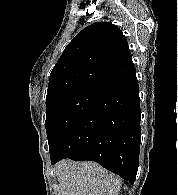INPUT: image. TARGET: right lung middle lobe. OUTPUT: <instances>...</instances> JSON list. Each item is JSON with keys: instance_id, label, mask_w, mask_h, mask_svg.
Instances as JSON below:
<instances>
[{"instance_id": "1", "label": "right lung middle lobe", "mask_w": 178, "mask_h": 195, "mask_svg": "<svg viewBox=\"0 0 178 195\" xmlns=\"http://www.w3.org/2000/svg\"><path fill=\"white\" fill-rule=\"evenodd\" d=\"M98 92L80 90L59 94L46 100V131L50 154L77 125Z\"/></svg>"}]
</instances>
